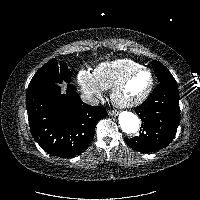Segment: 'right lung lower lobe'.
<instances>
[{
	"label": "right lung lower lobe",
	"instance_id": "1",
	"mask_svg": "<svg viewBox=\"0 0 200 200\" xmlns=\"http://www.w3.org/2000/svg\"><path fill=\"white\" fill-rule=\"evenodd\" d=\"M26 107L35 141L47 153L64 158L84 152L97 122L107 115L104 107L81 101L70 83L66 95L55 83L28 88Z\"/></svg>",
	"mask_w": 200,
	"mask_h": 200
}]
</instances>
